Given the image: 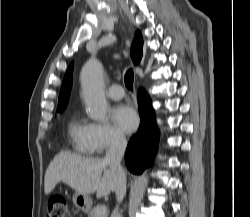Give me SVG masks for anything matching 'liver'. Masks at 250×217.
I'll return each mask as SVG.
<instances>
[{"label":"liver","mask_w":250,"mask_h":217,"mask_svg":"<svg viewBox=\"0 0 250 217\" xmlns=\"http://www.w3.org/2000/svg\"><path fill=\"white\" fill-rule=\"evenodd\" d=\"M59 182L80 194L96 192L98 198L116 189V178L103 160L69 152H60L49 164L44 179L45 194H50Z\"/></svg>","instance_id":"liver-1"}]
</instances>
